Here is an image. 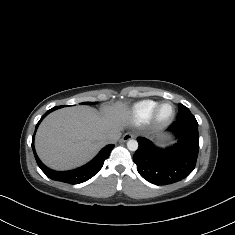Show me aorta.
Instances as JSON below:
<instances>
[{
    "mask_svg": "<svg viewBox=\"0 0 235 235\" xmlns=\"http://www.w3.org/2000/svg\"><path fill=\"white\" fill-rule=\"evenodd\" d=\"M138 147H139V145H138V142L136 140L130 139L127 142V148L130 151H136L138 149Z\"/></svg>",
    "mask_w": 235,
    "mask_h": 235,
    "instance_id": "1",
    "label": "aorta"
}]
</instances>
